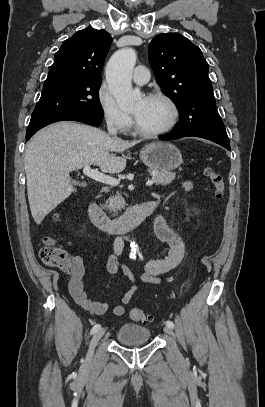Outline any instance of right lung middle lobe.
Here are the masks:
<instances>
[{
    "instance_id": "obj_1",
    "label": "right lung middle lobe",
    "mask_w": 265,
    "mask_h": 407,
    "mask_svg": "<svg viewBox=\"0 0 265 407\" xmlns=\"http://www.w3.org/2000/svg\"><path fill=\"white\" fill-rule=\"evenodd\" d=\"M101 80H89L69 75L48 77L44 83L27 133H33L48 124L77 114L103 117L99 101Z\"/></svg>"
}]
</instances>
